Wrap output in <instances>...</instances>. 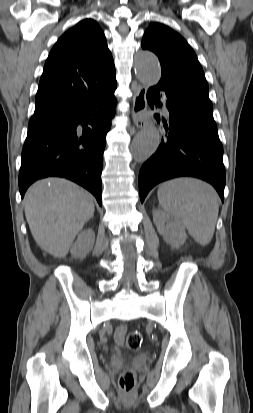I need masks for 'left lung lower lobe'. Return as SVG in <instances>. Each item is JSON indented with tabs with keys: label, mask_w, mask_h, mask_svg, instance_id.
<instances>
[{
	"label": "left lung lower lobe",
	"mask_w": 253,
	"mask_h": 413,
	"mask_svg": "<svg viewBox=\"0 0 253 413\" xmlns=\"http://www.w3.org/2000/svg\"><path fill=\"white\" fill-rule=\"evenodd\" d=\"M160 91L166 97L170 119L166 122L163 118L165 132L161 144L141 167V202L156 184L181 176L197 177L211 183L223 201V147L213 118L211 101L191 92L158 84L147 93L152 109L162 106ZM155 118L159 121L160 115L156 114Z\"/></svg>",
	"instance_id": "0a47b994"
}]
</instances>
